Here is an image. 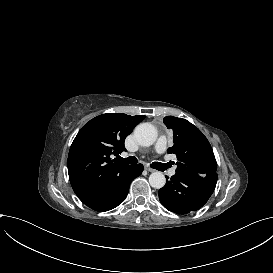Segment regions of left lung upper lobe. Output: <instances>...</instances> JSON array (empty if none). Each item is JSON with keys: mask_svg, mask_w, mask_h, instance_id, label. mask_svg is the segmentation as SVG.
<instances>
[{"mask_svg": "<svg viewBox=\"0 0 273 273\" xmlns=\"http://www.w3.org/2000/svg\"><path fill=\"white\" fill-rule=\"evenodd\" d=\"M163 120L173 130L174 145L167 152L177 156L176 172L203 176L216 173L214 153L203 133L182 118L166 116Z\"/></svg>", "mask_w": 273, "mask_h": 273, "instance_id": "left-lung-upper-lobe-1", "label": "left lung upper lobe"}]
</instances>
